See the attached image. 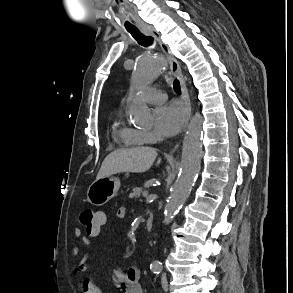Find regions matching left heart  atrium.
Returning a JSON list of instances; mask_svg holds the SVG:
<instances>
[{"label":"left heart atrium","instance_id":"1","mask_svg":"<svg viewBox=\"0 0 293 293\" xmlns=\"http://www.w3.org/2000/svg\"><path fill=\"white\" fill-rule=\"evenodd\" d=\"M155 128L161 136L175 135L186 118L185 108L178 102L158 107L154 113Z\"/></svg>","mask_w":293,"mask_h":293}]
</instances>
